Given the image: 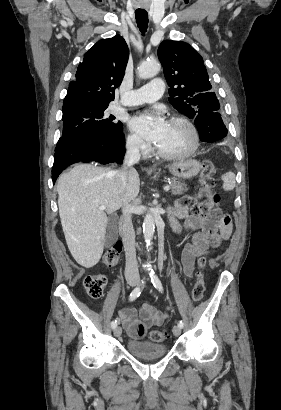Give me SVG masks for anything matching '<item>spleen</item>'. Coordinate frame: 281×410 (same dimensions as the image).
Segmentation results:
<instances>
[{
  "label": "spleen",
  "mask_w": 281,
  "mask_h": 410,
  "mask_svg": "<svg viewBox=\"0 0 281 410\" xmlns=\"http://www.w3.org/2000/svg\"><path fill=\"white\" fill-rule=\"evenodd\" d=\"M223 181V189L225 191H230L235 188L236 181H235V174L233 172H227L221 177Z\"/></svg>",
  "instance_id": "1"
}]
</instances>
